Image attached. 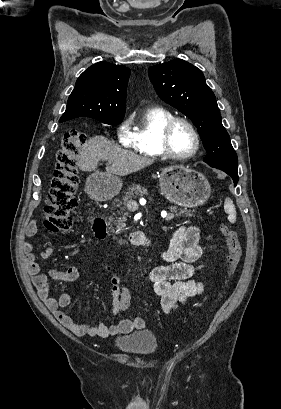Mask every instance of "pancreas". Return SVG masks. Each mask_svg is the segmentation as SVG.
I'll list each match as a JSON object with an SVG mask.
<instances>
[{"label":"pancreas","mask_w":281,"mask_h":409,"mask_svg":"<svg viewBox=\"0 0 281 409\" xmlns=\"http://www.w3.org/2000/svg\"><path fill=\"white\" fill-rule=\"evenodd\" d=\"M143 194H147V188H144V186H140V184H131V186H129L128 192H126V196H123V200L122 202H120V205H123V207H121V211H124L132 196H143ZM170 211L176 213L175 217H180L182 213H184V215H188V217H192V213H195V211H187V209H181L180 213H177V207H170ZM125 221H127V219L123 217V219H119V221H117L116 225H118V227L119 225H121V227H124Z\"/></svg>","instance_id":"pancreas-1"}]
</instances>
